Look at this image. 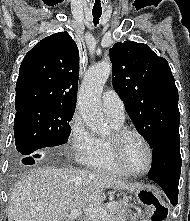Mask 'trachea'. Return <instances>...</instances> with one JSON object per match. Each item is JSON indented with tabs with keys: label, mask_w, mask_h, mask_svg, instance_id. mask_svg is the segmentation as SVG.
Masks as SVG:
<instances>
[{
	"label": "trachea",
	"mask_w": 190,
	"mask_h": 221,
	"mask_svg": "<svg viewBox=\"0 0 190 221\" xmlns=\"http://www.w3.org/2000/svg\"><path fill=\"white\" fill-rule=\"evenodd\" d=\"M102 10H92L93 23L97 25L99 23V18L101 17Z\"/></svg>",
	"instance_id": "obj_1"
}]
</instances>
